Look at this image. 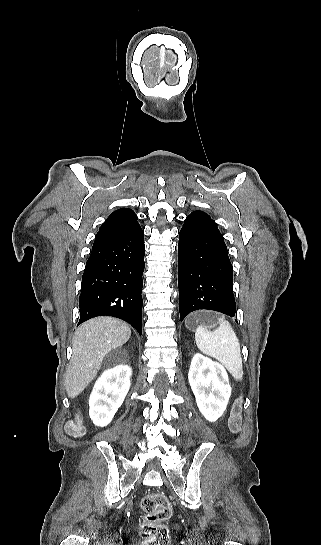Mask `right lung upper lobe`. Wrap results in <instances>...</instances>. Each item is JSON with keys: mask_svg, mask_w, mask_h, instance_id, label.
I'll return each mask as SVG.
<instances>
[{"mask_svg": "<svg viewBox=\"0 0 321 545\" xmlns=\"http://www.w3.org/2000/svg\"><path fill=\"white\" fill-rule=\"evenodd\" d=\"M137 225V215L132 209H118L114 211L99 228L95 241L122 233Z\"/></svg>", "mask_w": 321, "mask_h": 545, "instance_id": "right-lung-upper-lobe-1", "label": "right lung upper lobe"}]
</instances>
